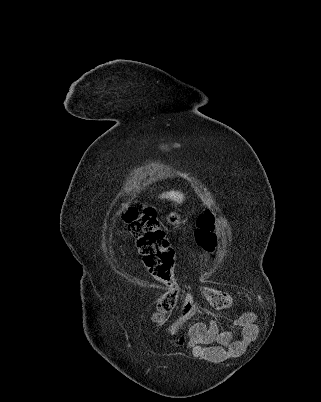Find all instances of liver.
Returning a JSON list of instances; mask_svg holds the SVG:
<instances>
[{
	"label": "liver",
	"instance_id": "6515ba94",
	"mask_svg": "<svg viewBox=\"0 0 321 402\" xmlns=\"http://www.w3.org/2000/svg\"><path fill=\"white\" fill-rule=\"evenodd\" d=\"M160 198H166V199H170V200H173V201H175V202H177V203H182V201H183V199H184V196H183V194L182 193H180V192H178V191H170V192H166V193H163L161 196H160Z\"/></svg>",
	"mask_w": 321,
	"mask_h": 402
}]
</instances>
